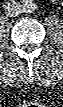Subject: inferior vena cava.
Listing matches in <instances>:
<instances>
[{
  "instance_id": "inferior-vena-cava-1",
  "label": "inferior vena cava",
  "mask_w": 63,
  "mask_h": 107,
  "mask_svg": "<svg viewBox=\"0 0 63 107\" xmlns=\"http://www.w3.org/2000/svg\"><path fill=\"white\" fill-rule=\"evenodd\" d=\"M22 9L21 4L18 1L12 0L6 3L4 6L5 14L10 17H14L20 14Z\"/></svg>"
}]
</instances>
